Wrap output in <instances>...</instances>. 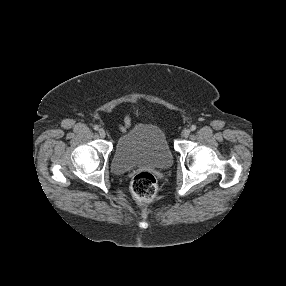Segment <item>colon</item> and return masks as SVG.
<instances>
[{
	"mask_svg": "<svg viewBox=\"0 0 286 286\" xmlns=\"http://www.w3.org/2000/svg\"><path fill=\"white\" fill-rule=\"evenodd\" d=\"M133 196L140 201H151L157 192V181L150 172H140L131 182Z\"/></svg>",
	"mask_w": 286,
	"mask_h": 286,
	"instance_id": "colon-1",
	"label": "colon"
}]
</instances>
